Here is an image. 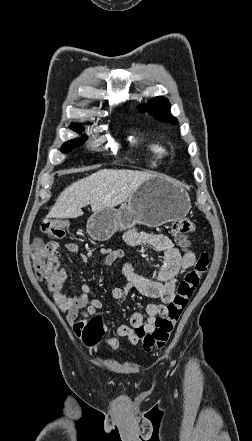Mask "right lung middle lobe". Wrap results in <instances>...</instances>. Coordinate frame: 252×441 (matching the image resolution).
Masks as SVG:
<instances>
[{"mask_svg":"<svg viewBox=\"0 0 252 441\" xmlns=\"http://www.w3.org/2000/svg\"><path fill=\"white\" fill-rule=\"evenodd\" d=\"M70 127L72 130L77 131V132H80L83 130V128L79 124H76V123H72L70 125ZM86 139H87V137L83 136L81 139L67 141L62 145L61 151L63 153H67V152L71 151L73 148H76L77 146L82 145L84 143V141H86Z\"/></svg>","mask_w":252,"mask_h":441,"instance_id":"dd1d6c3e","label":"right lung middle lobe"}]
</instances>
